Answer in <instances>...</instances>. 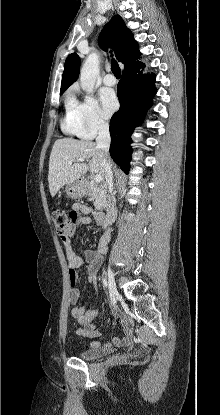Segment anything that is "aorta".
Returning <instances> with one entry per match:
<instances>
[{"label": "aorta", "instance_id": "762f6f07", "mask_svg": "<svg viewBox=\"0 0 220 415\" xmlns=\"http://www.w3.org/2000/svg\"><path fill=\"white\" fill-rule=\"evenodd\" d=\"M99 75V59L97 54L92 53L88 55L80 71V83L81 86L91 91L96 82V78Z\"/></svg>", "mask_w": 220, "mask_h": 415}]
</instances>
